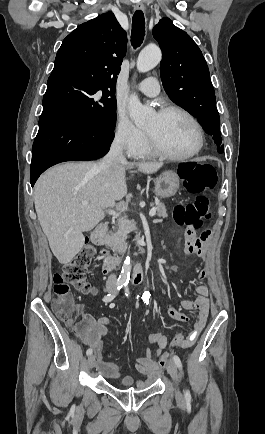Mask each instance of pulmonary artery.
Returning a JSON list of instances; mask_svg holds the SVG:
<instances>
[{"instance_id":"pulmonary-artery-1","label":"pulmonary artery","mask_w":265,"mask_h":434,"mask_svg":"<svg viewBox=\"0 0 265 434\" xmlns=\"http://www.w3.org/2000/svg\"><path fill=\"white\" fill-rule=\"evenodd\" d=\"M159 87L160 84L156 77H148L138 86V89L148 96H158Z\"/></svg>"}]
</instances>
